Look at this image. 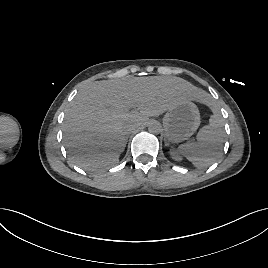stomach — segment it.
<instances>
[{
  "mask_svg": "<svg viewBox=\"0 0 268 268\" xmlns=\"http://www.w3.org/2000/svg\"><path fill=\"white\" fill-rule=\"evenodd\" d=\"M163 124L168 139L175 142L187 140L200 125L199 110L191 100H186L167 111Z\"/></svg>",
  "mask_w": 268,
  "mask_h": 268,
  "instance_id": "obj_1",
  "label": "stomach"
}]
</instances>
